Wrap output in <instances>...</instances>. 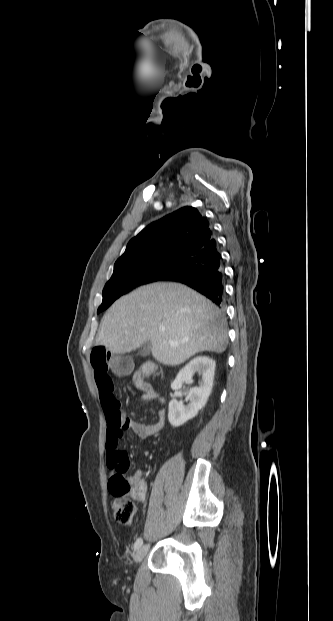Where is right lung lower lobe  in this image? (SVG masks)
I'll use <instances>...</instances> for the list:
<instances>
[{"instance_id": "right-lung-lower-lobe-1", "label": "right lung lower lobe", "mask_w": 333, "mask_h": 621, "mask_svg": "<svg viewBox=\"0 0 333 621\" xmlns=\"http://www.w3.org/2000/svg\"><path fill=\"white\" fill-rule=\"evenodd\" d=\"M162 281L180 282L224 306V271L215 238L187 256L179 268Z\"/></svg>"}]
</instances>
